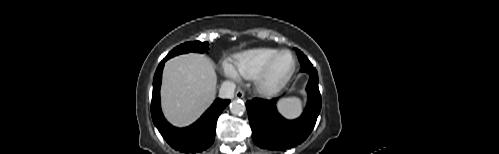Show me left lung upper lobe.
Masks as SVG:
<instances>
[{"instance_id": "obj_1", "label": "left lung upper lobe", "mask_w": 499, "mask_h": 154, "mask_svg": "<svg viewBox=\"0 0 499 154\" xmlns=\"http://www.w3.org/2000/svg\"><path fill=\"white\" fill-rule=\"evenodd\" d=\"M296 53L301 66H309V67L313 66L312 63L308 60V58L300 50H297Z\"/></svg>"}]
</instances>
